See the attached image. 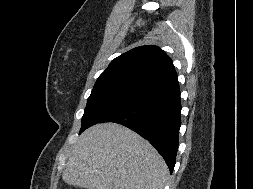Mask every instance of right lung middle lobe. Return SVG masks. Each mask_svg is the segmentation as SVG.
Returning <instances> with one entry per match:
<instances>
[{"label": "right lung middle lobe", "instance_id": "dd1d6c3e", "mask_svg": "<svg viewBox=\"0 0 253 189\" xmlns=\"http://www.w3.org/2000/svg\"><path fill=\"white\" fill-rule=\"evenodd\" d=\"M147 93L148 91L126 86L93 89L82 117L80 133L106 115L137 101Z\"/></svg>", "mask_w": 253, "mask_h": 189}]
</instances>
